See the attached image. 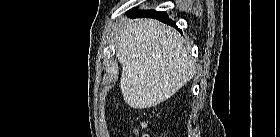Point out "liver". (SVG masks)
I'll return each instance as SVG.
<instances>
[{
	"instance_id": "1",
	"label": "liver",
	"mask_w": 280,
	"mask_h": 137,
	"mask_svg": "<svg viewBox=\"0 0 280 137\" xmlns=\"http://www.w3.org/2000/svg\"><path fill=\"white\" fill-rule=\"evenodd\" d=\"M116 56L124 101L135 109L169 99L195 72L181 35L153 19L129 20L117 35Z\"/></svg>"
}]
</instances>
